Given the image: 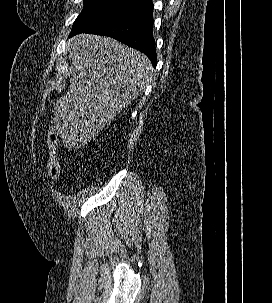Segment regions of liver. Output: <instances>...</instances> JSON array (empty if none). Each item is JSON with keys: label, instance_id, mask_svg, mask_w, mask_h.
Here are the masks:
<instances>
[{"label": "liver", "instance_id": "liver-1", "mask_svg": "<svg viewBox=\"0 0 272 303\" xmlns=\"http://www.w3.org/2000/svg\"><path fill=\"white\" fill-rule=\"evenodd\" d=\"M70 86L55 104V129L73 148L89 142L152 79L146 55L121 42L80 34L68 42Z\"/></svg>", "mask_w": 272, "mask_h": 303}]
</instances>
